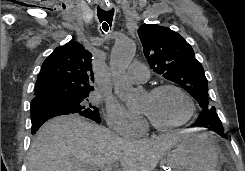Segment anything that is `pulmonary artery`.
I'll return each instance as SVG.
<instances>
[{
    "label": "pulmonary artery",
    "instance_id": "1",
    "mask_svg": "<svg viewBox=\"0 0 245 171\" xmlns=\"http://www.w3.org/2000/svg\"><path fill=\"white\" fill-rule=\"evenodd\" d=\"M148 78H149L148 68L144 64L138 61L133 62L126 73V79L132 83L145 82L148 80Z\"/></svg>",
    "mask_w": 245,
    "mask_h": 171
}]
</instances>
